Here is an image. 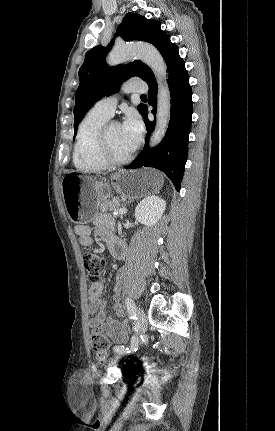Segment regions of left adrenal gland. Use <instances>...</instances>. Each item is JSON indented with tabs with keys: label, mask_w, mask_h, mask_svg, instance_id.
Wrapping results in <instances>:
<instances>
[{
	"label": "left adrenal gland",
	"mask_w": 275,
	"mask_h": 431,
	"mask_svg": "<svg viewBox=\"0 0 275 431\" xmlns=\"http://www.w3.org/2000/svg\"><path fill=\"white\" fill-rule=\"evenodd\" d=\"M132 201H130V202H128V203H131ZM127 205V203L126 204H124V208H125V206Z\"/></svg>",
	"instance_id": "1"
}]
</instances>
